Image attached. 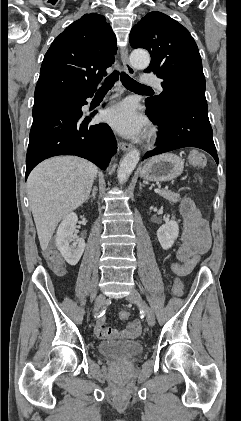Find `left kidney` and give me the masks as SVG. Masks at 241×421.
Instances as JSON below:
<instances>
[{
  "mask_svg": "<svg viewBox=\"0 0 241 421\" xmlns=\"http://www.w3.org/2000/svg\"><path fill=\"white\" fill-rule=\"evenodd\" d=\"M178 235H179V227L174 217H173V220L163 224L157 230L158 241L164 250H168L169 248L172 247Z\"/></svg>",
  "mask_w": 241,
  "mask_h": 421,
  "instance_id": "1",
  "label": "left kidney"
}]
</instances>
